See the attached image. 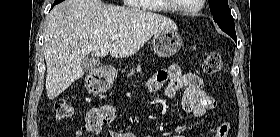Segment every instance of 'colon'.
<instances>
[{"instance_id":"colon-1","label":"colon","mask_w":280,"mask_h":137,"mask_svg":"<svg viewBox=\"0 0 280 137\" xmlns=\"http://www.w3.org/2000/svg\"><path fill=\"white\" fill-rule=\"evenodd\" d=\"M223 67V59L219 53L208 54L203 61L202 69L206 75L213 76L218 74ZM74 111L73 105L64 98H59L55 101L54 112L55 117L59 120L69 118ZM230 129L228 122L218 125L214 137H227Z\"/></svg>"}]
</instances>
